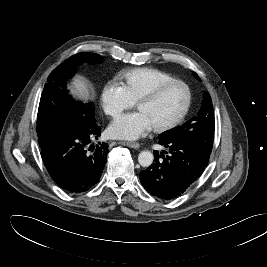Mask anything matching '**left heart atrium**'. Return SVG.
Wrapping results in <instances>:
<instances>
[{
	"label": "left heart atrium",
	"instance_id": "obj_1",
	"mask_svg": "<svg viewBox=\"0 0 267 267\" xmlns=\"http://www.w3.org/2000/svg\"><path fill=\"white\" fill-rule=\"evenodd\" d=\"M151 129L146 117L139 111L118 117L108 132L114 138L135 140Z\"/></svg>",
	"mask_w": 267,
	"mask_h": 267
}]
</instances>
